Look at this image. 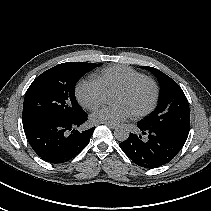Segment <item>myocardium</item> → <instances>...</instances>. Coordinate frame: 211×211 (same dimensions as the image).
<instances>
[{
    "instance_id": "obj_1",
    "label": "myocardium",
    "mask_w": 211,
    "mask_h": 211,
    "mask_svg": "<svg viewBox=\"0 0 211 211\" xmlns=\"http://www.w3.org/2000/svg\"><path fill=\"white\" fill-rule=\"evenodd\" d=\"M143 82H147L152 86L153 96H152V100H151L150 104L147 107L133 112L134 116H136V117H142V116L148 115L155 109V107L158 103V99H159V87H158L156 81L153 78L144 75V76L135 78V79L121 85L120 87H118L116 89V91L127 92V91L134 89L136 86H138L139 84H141Z\"/></svg>"
}]
</instances>
